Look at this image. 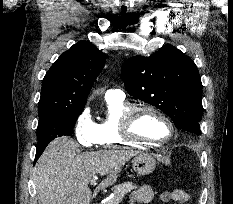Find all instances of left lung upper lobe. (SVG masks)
I'll use <instances>...</instances> for the list:
<instances>
[{
	"instance_id": "5c2ea615",
	"label": "left lung upper lobe",
	"mask_w": 233,
	"mask_h": 204,
	"mask_svg": "<svg viewBox=\"0 0 233 204\" xmlns=\"http://www.w3.org/2000/svg\"><path fill=\"white\" fill-rule=\"evenodd\" d=\"M121 72L131 96L161 109L176 128L201 134L200 75L195 63L179 49L165 45L150 57H131Z\"/></svg>"
}]
</instances>
